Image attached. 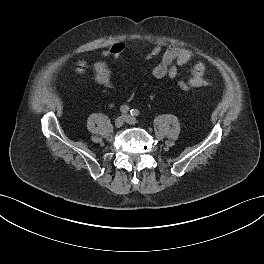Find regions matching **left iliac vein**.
I'll use <instances>...</instances> for the list:
<instances>
[{"mask_svg": "<svg viewBox=\"0 0 264 264\" xmlns=\"http://www.w3.org/2000/svg\"><path fill=\"white\" fill-rule=\"evenodd\" d=\"M124 119L125 121L128 123V124H136L137 123V119L131 115H125L124 116Z\"/></svg>", "mask_w": 264, "mask_h": 264, "instance_id": "4c4485c4", "label": "left iliac vein"}]
</instances>
